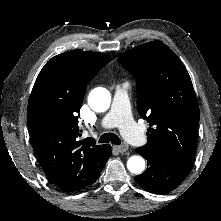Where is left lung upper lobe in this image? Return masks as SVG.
<instances>
[{"mask_svg":"<svg viewBox=\"0 0 221 221\" xmlns=\"http://www.w3.org/2000/svg\"><path fill=\"white\" fill-rule=\"evenodd\" d=\"M119 61L136 79L138 111L150 126L148 143L139 148L192 161L200 113L181 60L161 41H151L121 54Z\"/></svg>","mask_w":221,"mask_h":221,"instance_id":"1","label":"left lung upper lobe"}]
</instances>
